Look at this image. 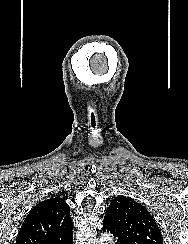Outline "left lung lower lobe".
Segmentation results:
<instances>
[{"label":"left lung lower lobe","instance_id":"obj_1","mask_svg":"<svg viewBox=\"0 0 188 244\" xmlns=\"http://www.w3.org/2000/svg\"><path fill=\"white\" fill-rule=\"evenodd\" d=\"M105 231L110 232L111 234L114 235V237L116 238V244H123L120 241V239L117 237L114 226L111 222V219L108 216H105L104 220H103V232H105Z\"/></svg>","mask_w":188,"mask_h":244}]
</instances>
